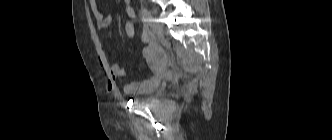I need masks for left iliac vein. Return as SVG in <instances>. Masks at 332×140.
Listing matches in <instances>:
<instances>
[{"mask_svg":"<svg viewBox=\"0 0 332 140\" xmlns=\"http://www.w3.org/2000/svg\"><path fill=\"white\" fill-rule=\"evenodd\" d=\"M149 16L151 18V30L155 34H160L161 33V27L160 25L156 22L155 18L153 17L152 13L149 11Z\"/></svg>","mask_w":332,"mask_h":140,"instance_id":"obj_1","label":"left iliac vein"}]
</instances>
